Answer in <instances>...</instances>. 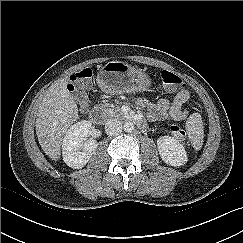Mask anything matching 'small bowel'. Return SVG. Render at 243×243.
I'll return each instance as SVG.
<instances>
[{"label":"small bowel","mask_w":243,"mask_h":243,"mask_svg":"<svg viewBox=\"0 0 243 243\" xmlns=\"http://www.w3.org/2000/svg\"><path fill=\"white\" fill-rule=\"evenodd\" d=\"M189 99V92L186 89L179 91L172 101L162 98L157 104L149 109V117L155 120L184 121L188 111L183 107Z\"/></svg>","instance_id":"1"}]
</instances>
